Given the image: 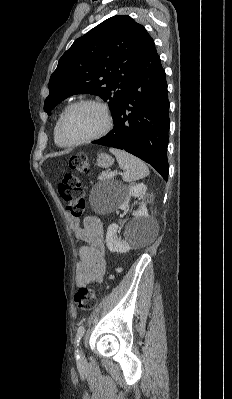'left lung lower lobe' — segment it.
Segmentation results:
<instances>
[{
  "instance_id": "obj_1",
  "label": "left lung lower lobe",
  "mask_w": 232,
  "mask_h": 399,
  "mask_svg": "<svg viewBox=\"0 0 232 399\" xmlns=\"http://www.w3.org/2000/svg\"><path fill=\"white\" fill-rule=\"evenodd\" d=\"M113 129L94 144L125 150L168 180L169 101L165 71L152 40L133 73Z\"/></svg>"
}]
</instances>
